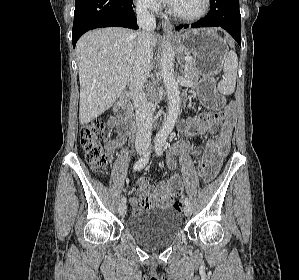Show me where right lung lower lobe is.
Segmentation results:
<instances>
[{
    "label": "right lung lower lobe",
    "mask_w": 299,
    "mask_h": 280,
    "mask_svg": "<svg viewBox=\"0 0 299 280\" xmlns=\"http://www.w3.org/2000/svg\"><path fill=\"white\" fill-rule=\"evenodd\" d=\"M132 0H75L72 42L88 30L101 27L138 29Z\"/></svg>",
    "instance_id": "right-lung-lower-lobe-1"
}]
</instances>
